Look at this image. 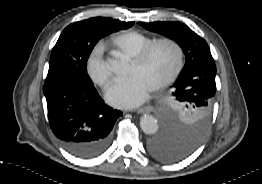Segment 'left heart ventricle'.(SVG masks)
<instances>
[{
    "mask_svg": "<svg viewBox=\"0 0 262 184\" xmlns=\"http://www.w3.org/2000/svg\"><path fill=\"white\" fill-rule=\"evenodd\" d=\"M177 62L176 49L168 44L158 46L143 64L131 63L129 75L138 74L152 87L165 79Z\"/></svg>",
    "mask_w": 262,
    "mask_h": 184,
    "instance_id": "1",
    "label": "left heart ventricle"
}]
</instances>
